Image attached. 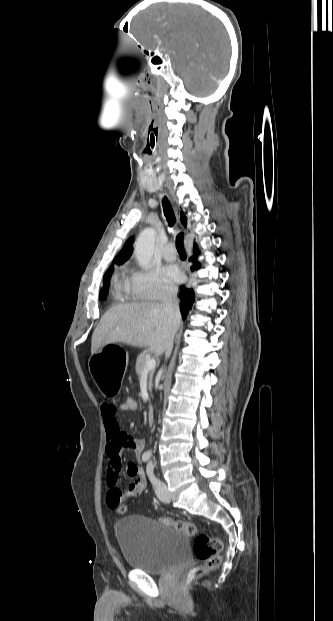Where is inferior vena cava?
Listing matches in <instances>:
<instances>
[{"label":"inferior vena cava","instance_id":"1","mask_svg":"<svg viewBox=\"0 0 333 621\" xmlns=\"http://www.w3.org/2000/svg\"><path fill=\"white\" fill-rule=\"evenodd\" d=\"M178 289L172 288L169 289L165 296L162 299V307L167 313L169 322L171 324L166 350L165 357L168 359L171 355L173 349V341L176 331L179 327L180 323V313H179V300L177 298Z\"/></svg>","mask_w":333,"mask_h":621}]
</instances>
